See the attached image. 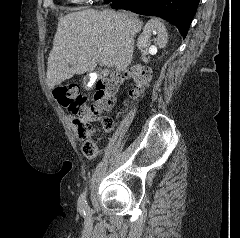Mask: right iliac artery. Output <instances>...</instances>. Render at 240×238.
<instances>
[{"instance_id": "obj_1", "label": "right iliac artery", "mask_w": 240, "mask_h": 238, "mask_svg": "<svg viewBox=\"0 0 240 238\" xmlns=\"http://www.w3.org/2000/svg\"><path fill=\"white\" fill-rule=\"evenodd\" d=\"M78 203H79V205H80L82 208H86V207H87V203H86V191L81 194ZM83 212H84V214H85L84 209H83Z\"/></svg>"}]
</instances>
